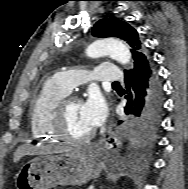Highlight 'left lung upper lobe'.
Returning a JSON list of instances; mask_svg holds the SVG:
<instances>
[{
  "instance_id": "obj_1",
  "label": "left lung upper lobe",
  "mask_w": 188,
  "mask_h": 189,
  "mask_svg": "<svg viewBox=\"0 0 188 189\" xmlns=\"http://www.w3.org/2000/svg\"><path fill=\"white\" fill-rule=\"evenodd\" d=\"M92 34L96 37H117L126 41L131 47V53L134 59V65L141 60H147L148 56L144 53L142 43L137 31L128 23L117 18L101 19L94 25ZM158 128V125L145 131H133L137 139L152 138Z\"/></svg>"
}]
</instances>
